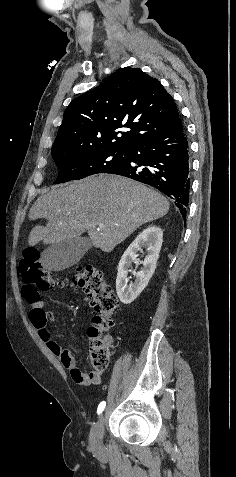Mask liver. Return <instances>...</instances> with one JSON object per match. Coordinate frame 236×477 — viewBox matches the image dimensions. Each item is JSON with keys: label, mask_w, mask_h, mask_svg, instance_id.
Here are the masks:
<instances>
[{"label": "liver", "mask_w": 236, "mask_h": 477, "mask_svg": "<svg viewBox=\"0 0 236 477\" xmlns=\"http://www.w3.org/2000/svg\"><path fill=\"white\" fill-rule=\"evenodd\" d=\"M169 207L157 191L131 179L90 176L55 186L35 201L30 220L48 222L32 229L28 243L55 244L88 232L92 245L109 253L141 225L165 216Z\"/></svg>", "instance_id": "obj_1"}]
</instances>
